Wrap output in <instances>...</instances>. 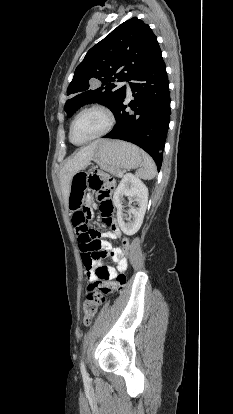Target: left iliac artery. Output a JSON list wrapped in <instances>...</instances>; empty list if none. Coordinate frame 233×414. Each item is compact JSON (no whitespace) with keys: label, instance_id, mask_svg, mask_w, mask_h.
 Segmentation results:
<instances>
[{"label":"left iliac artery","instance_id":"44dca946","mask_svg":"<svg viewBox=\"0 0 233 414\" xmlns=\"http://www.w3.org/2000/svg\"><path fill=\"white\" fill-rule=\"evenodd\" d=\"M80 369H81L82 376H83L84 378L88 377V374H87V372H86V368H85V365H84V362H83V361L81 362Z\"/></svg>","mask_w":233,"mask_h":414}]
</instances>
